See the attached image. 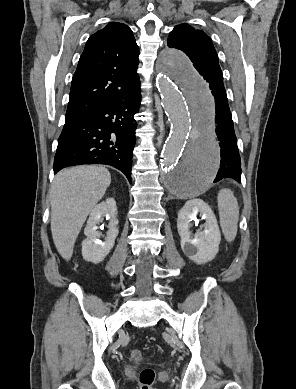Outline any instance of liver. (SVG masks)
<instances>
[{
  "label": "liver",
  "instance_id": "6515ba94",
  "mask_svg": "<svg viewBox=\"0 0 296 389\" xmlns=\"http://www.w3.org/2000/svg\"><path fill=\"white\" fill-rule=\"evenodd\" d=\"M111 183L102 166H77L60 171L50 191L51 232L57 251L69 261L77 236L91 210Z\"/></svg>",
  "mask_w": 296,
  "mask_h": 389
}]
</instances>
